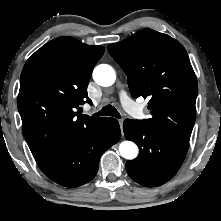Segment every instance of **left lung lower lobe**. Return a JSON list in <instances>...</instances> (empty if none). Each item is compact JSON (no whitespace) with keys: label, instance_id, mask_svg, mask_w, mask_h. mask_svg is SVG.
<instances>
[{"label":"left lung lower lobe","instance_id":"0a47b994","mask_svg":"<svg viewBox=\"0 0 221 221\" xmlns=\"http://www.w3.org/2000/svg\"><path fill=\"white\" fill-rule=\"evenodd\" d=\"M126 139L135 142L140 153L125 164L127 173L137 183L160 186L179 170L187 154L189 142L166 136L141 121L126 119L123 123Z\"/></svg>","mask_w":221,"mask_h":221}]
</instances>
